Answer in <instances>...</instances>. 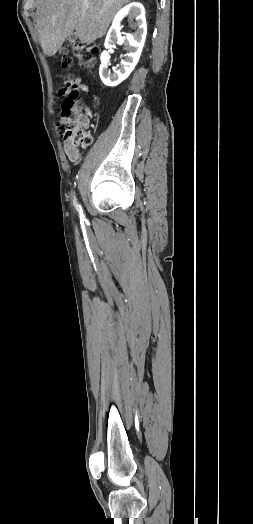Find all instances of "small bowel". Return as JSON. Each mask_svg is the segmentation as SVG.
<instances>
[{
  "instance_id": "small-bowel-1",
  "label": "small bowel",
  "mask_w": 253,
  "mask_h": 524,
  "mask_svg": "<svg viewBox=\"0 0 253 524\" xmlns=\"http://www.w3.org/2000/svg\"><path fill=\"white\" fill-rule=\"evenodd\" d=\"M78 87V86H77ZM55 95L57 97H60L62 95V92L60 90H57L55 92ZM64 152L68 156V158L73 162H78L80 159V152L77 148L71 147L67 142H64L63 145Z\"/></svg>"
}]
</instances>
